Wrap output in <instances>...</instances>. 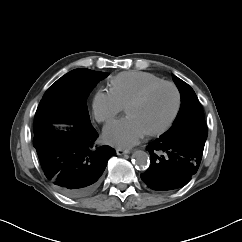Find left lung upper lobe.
<instances>
[{"mask_svg":"<svg viewBox=\"0 0 242 242\" xmlns=\"http://www.w3.org/2000/svg\"><path fill=\"white\" fill-rule=\"evenodd\" d=\"M173 80L181 94V107L173 125L161 137L172 141H206L207 129L204 113L195 92L175 75H173Z\"/></svg>","mask_w":242,"mask_h":242,"instance_id":"left-lung-upper-lobe-1","label":"left lung upper lobe"}]
</instances>
